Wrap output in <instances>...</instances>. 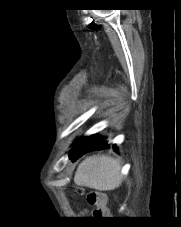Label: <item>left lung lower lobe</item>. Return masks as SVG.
Segmentation results:
<instances>
[{"label": "left lung lower lobe", "instance_id": "obj_1", "mask_svg": "<svg viewBox=\"0 0 181 227\" xmlns=\"http://www.w3.org/2000/svg\"><path fill=\"white\" fill-rule=\"evenodd\" d=\"M110 145L101 136L92 135L79 139L70 151V159L76 160L83 154L93 151L109 148ZM114 151L117 152L116 146L113 145Z\"/></svg>", "mask_w": 181, "mask_h": 227}]
</instances>
